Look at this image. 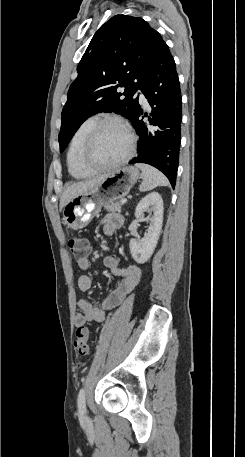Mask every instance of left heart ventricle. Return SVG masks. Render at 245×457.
Returning <instances> with one entry per match:
<instances>
[{
	"label": "left heart ventricle",
	"mask_w": 245,
	"mask_h": 457,
	"mask_svg": "<svg viewBox=\"0 0 245 457\" xmlns=\"http://www.w3.org/2000/svg\"><path fill=\"white\" fill-rule=\"evenodd\" d=\"M129 144L128 137L116 128L104 129L86 153L87 162L102 167L121 156Z\"/></svg>",
	"instance_id": "1"
}]
</instances>
